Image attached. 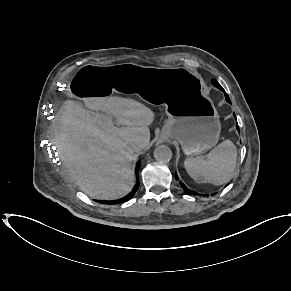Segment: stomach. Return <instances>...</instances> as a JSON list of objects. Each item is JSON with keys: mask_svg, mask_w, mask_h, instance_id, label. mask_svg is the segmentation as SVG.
<instances>
[{"mask_svg": "<svg viewBox=\"0 0 291 291\" xmlns=\"http://www.w3.org/2000/svg\"><path fill=\"white\" fill-rule=\"evenodd\" d=\"M113 92L137 93L151 103H163L168 120L161 136L177 140L186 155L200 154L218 142L219 115L197 72L132 63L86 66L71 83V94L83 100Z\"/></svg>", "mask_w": 291, "mask_h": 291, "instance_id": "1", "label": "stomach"}]
</instances>
